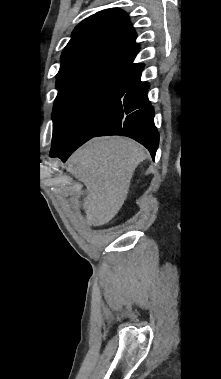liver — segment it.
Segmentation results:
<instances>
[{
    "label": "liver",
    "instance_id": "obj_1",
    "mask_svg": "<svg viewBox=\"0 0 221 379\" xmlns=\"http://www.w3.org/2000/svg\"><path fill=\"white\" fill-rule=\"evenodd\" d=\"M146 157L140 144L123 137L93 138L71 155L67 170L86 187L83 210L89 223L103 225L113 219Z\"/></svg>",
    "mask_w": 221,
    "mask_h": 379
}]
</instances>
